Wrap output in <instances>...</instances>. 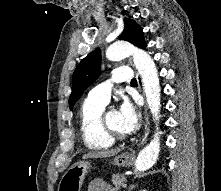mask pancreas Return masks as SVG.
Instances as JSON below:
<instances>
[{
    "mask_svg": "<svg viewBox=\"0 0 221 191\" xmlns=\"http://www.w3.org/2000/svg\"><path fill=\"white\" fill-rule=\"evenodd\" d=\"M126 177L122 174H113L112 176V183L115 185L116 188H120L125 184Z\"/></svg>",
    "mask_w": 221,
    "mask_h": 191,
    "instance_id": "obj_1",
    "label": "pancreas"
}]
</instances>
